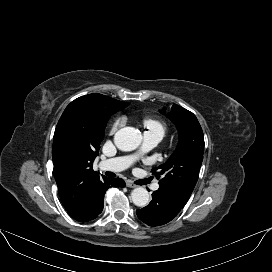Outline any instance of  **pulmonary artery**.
Listing matches in <instances>:
<instances>
[{
    "label": "pulmonary artery",
    "mask_w": 272,
    "mask_h": 272,
    "mask_svg": "<svg viewBox=\"0 0 272 272\" xmlns=\"http://www.w3.org/2000/svg\"><path fill=\"white\" fill-rule=\"evenodd\" d=\"M163 133L159 131H147L144 134V140L141 148L132 155L121 156L112 159H108L101 162V168L110 171H122L131 166L138 158L153 149L161 141ZM159 188L158 184H155L153 189Z\"/></svg>",
    "instance_id": "pulmonary-artery-1"
}]
</instances>
